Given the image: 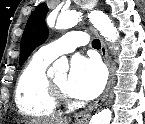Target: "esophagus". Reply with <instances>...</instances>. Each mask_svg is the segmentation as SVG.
<instances>
[{
  "label": "esophagus",
  "mask_w": 145,
  "mask_h": 124,
  "mask_svg": "<svg viewBox=\"0 0 145 124\" xmlns=\"http://www.w3.org/2000/svg\"><path fill=\"white\" fill-rule=\"evenodd\" d=\"M91 29L100 40L101 55L103 57L105 64L108 67L109 77H108V83L106 85V88H105L103 94L95 101V103L93 105L89 106L88 109H85L76 115L75 118H76L77 124H86L88 122V120L90 119L91 112L93 110L97 109L106 100V98L108 97V94H109V90L111 87V81H112V68H111L110 57L108 54L106 44H105L104 40L101 38V36L99 35V33L93 27H91Z\"/></svg>",
  "instance_id": "obj_1"
}]
</instances>
